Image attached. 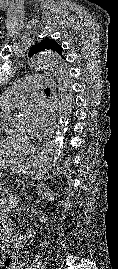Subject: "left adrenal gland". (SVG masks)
Masks as SVG:
<instances>
[{"mask_svg": "<svg viewBox=\"0 0 118 269\" xmlns=\"http://www.w3.org/2000/svg\"><path fill=\"white\" fill-rule=\"evenodd\" d=\"M27 185H25L24 183H22V190H24L26 188Z\"/></svg>", "mask_w": 118, "mask_h": 269, "instance_id": "a2214340", "label": "left adrenal gland"}]
</instances>
